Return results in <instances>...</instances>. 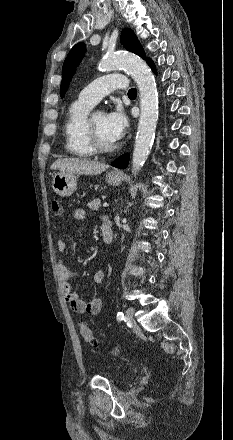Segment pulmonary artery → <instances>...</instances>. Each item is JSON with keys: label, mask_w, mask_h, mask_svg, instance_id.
<instances>
[{"label": "pulmonary artery", "mask_w": 233, "mask_h": 440, "mask_svg": "<svg viewBox=\"0 0 233 440\" xmlns=\"http://www.w3.org/2000/svg\"><path fill=\"white\" fill-rule=\"evenodd\" d=\"M127 78L121 74H109L97 78L89 83L79 94L78 99L90 105H95L99 100L115 89H127Z\"/></svg>", "instance_id": "e3ab8cb5"}]
</instances>
